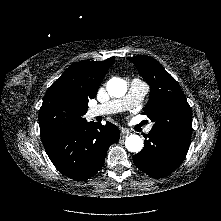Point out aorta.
Instances as JSON below:
<instances>
[{"label": "aorta", "instance_id": "762f6f07", "mask_svg": "<svg viewBox=\"0 0 221 221\" xmlns=\"http://www.w3.org/2000/svg\"><path fill=\"white\" fill-rule=\"evenodd\" d=\"M107 91L110 96L120 98L127 92V83L122 78L113 77L107 83ZM125 146L128 151L138 153L143 148V140L139 135L132 134L126 138Z\"/></svg>", "mask_w": 221, "mask_h": 221}]
</instances>
